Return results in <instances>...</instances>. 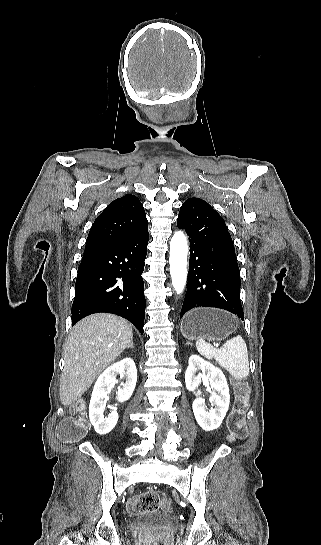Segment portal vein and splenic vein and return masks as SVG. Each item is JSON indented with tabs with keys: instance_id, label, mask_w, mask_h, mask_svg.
Instances as JSON below:
<instances>
[{
	"instance_id": "obj_1",
	"label": "portal vein and splenic vein",
	"mask_w": 321,
	"mask_h": 545,
	"mask_svg": "<svg viewBox=\"0 0 321 545\" xmlns=\"http://www.w3.org/2000/svg\"><path fill=\"white\" fill-rule=\"evenodd\" d=\"M220 347H221V342L219 340H217V339L214 340L213 345H212V348H213L212 350L215 352Z\"/></svg>"
}]
</instances>
